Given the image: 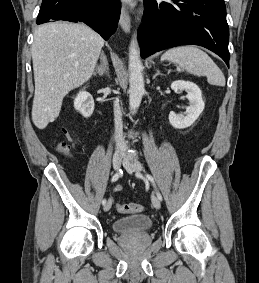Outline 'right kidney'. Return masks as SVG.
<instances>
[{"label":"right kidney","instance_id":"1","mask_svg":"<svg viewBox=\"0 0 259 283\" xmlns=\"http://www.w3.org/2000/svg\"><path fill=\"white\" fill-rule=\"evenodd\" d=\"M74 108L79 111L83 117H90L94 111L92 95L85 90L80 91L74 99Z\"/></svg>","mask_w":259,"mask_h":283}]
</instances>
